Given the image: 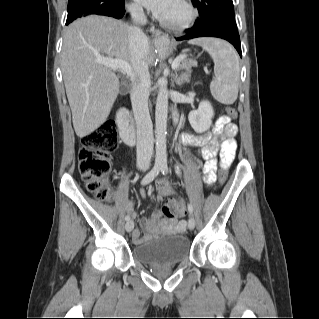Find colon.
Here are the masks:
<instances>
[{"mask_svg":"<svg viewBox=\"0 0 319 319\" xmlns=\"http://www.w3.org/2000/svg\"><path fill=\"white\" fill-rule=\"evenodd\" d=\"M225 110L230 117L234 119L237 117V111L234 108L226 107ZM116 146L117 128L112 121L103 123L82 138L79 150L80 177L86 189L99 200L113 199L108 176L111 169V153ZM226 179L227 171L222 168L219 171L218 181L223 184ZM163 213L169 219L177 218L183 213L182 206L175 199H169L163 207Z\"/></svg>","mask_w":319,"mask_h":319,"instance_id":"1","label":"colon"}]
</instances>
